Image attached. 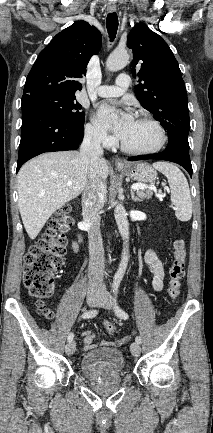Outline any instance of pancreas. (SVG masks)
<instances>
[{
    "instance_id": "cf45deb5",
    "label": "pancreas",
    "mask_w": 213,
    "mask_h": 433,
    "mask_svg": "<svg viewBox=\"0 0 213 433\" xmlns=\"http://www.w3.org/2000/svg\"><path fill=\"white\" fill-rule=\"evenodd\" d=\"M137 193L143 199H150L153 195L152 189L149 188L138 190Z\"/></svg>"
}]
</instances>
